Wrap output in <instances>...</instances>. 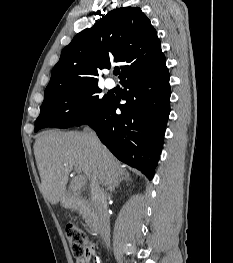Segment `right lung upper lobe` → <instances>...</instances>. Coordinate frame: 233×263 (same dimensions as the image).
Instances as JSON below:
<instances>
[{
    "label": "right lung upper lobe",
    "mask_w": 233,
    "mask_h": 263,
    "mask_svg": "<svg viewBox=\"0 0 233 263\" xmlns=\"http://www.w3.org/2000/svg\"><path fill=\"white\" fill-rule=\"evenodd\" d=\"M110 61L124 62L120 80L152 73L166 64L157 32L138 7H123L78 33L54 66L45 98L98 84V70ZM120 81V82H121Z\"/></svg>",
    "instance_id": "1"
}]
</instances>
